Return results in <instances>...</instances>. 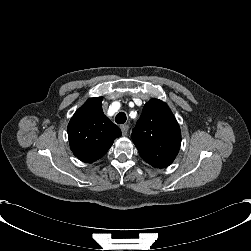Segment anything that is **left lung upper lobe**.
I'll list each match as a JSON object with an SVG mask.
<instances>
[{"label": "left lung upper lobe", "mask_w": 251, "mask_h": 251, "mask_svg": "<svg viewBox=\"0 0 251 251\" xmlns=\"http://www.w3.org/2000/svg\"><path fill=\"white\" fill-rule=\"evenodd\" d=\"M131 138L144 161L156 168L169 166L181 144V132L170 108L161 100L148 101Z\"/></svg>", "instance_id": "1"}]
</instances>
